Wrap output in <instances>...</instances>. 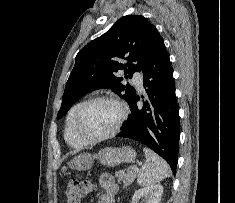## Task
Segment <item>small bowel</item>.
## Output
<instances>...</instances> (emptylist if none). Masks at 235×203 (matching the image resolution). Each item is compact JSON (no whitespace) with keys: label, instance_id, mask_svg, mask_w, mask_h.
I'll list each match as a JSON object with an SVG mask.
<instances>
[{"label":"small bowel","instance_id":"obj_1","mask_svg":"<svg viewBox=\"0 0 235 203\" xmlns=\"http://www.w3.org/2000/svg\"><path fill=\"white\" fill-rule=\"evenodd\" d=\"M99 184L103 193L98 199V203H115V197L118 192V186L110 174H102L99 177Z\"/></svg>","mask_w":235,"mask_h":203}]
</instances>
